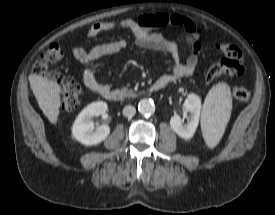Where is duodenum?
<instances>
[{"label":"duodenum","instance_id":"obj_1","mask_svg":"<svg viewBox=\"0 0 275 215\" xmlns=\"http://www.w3.org/2000/svg\"><path fill=\"white\" fill-rule=\"evenodd\" d=\"M168 84L169 83L166 79L160 78L150 86L149 90L152 92H156V91L162 90ZM101 95L106 100L113 101V102L120 101L123 98V93L121 91L110 90V89L103 91Z\"/></svg>","mask_w":275,"mask_h":215}]
</instances>
